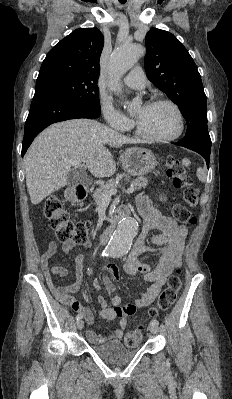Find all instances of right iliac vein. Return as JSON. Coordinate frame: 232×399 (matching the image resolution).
Here are the masks:
<instances>
[{"label": "right iliac vein", "instance_id": "63e3f726", "mask_svg": "<svg viewBox=\"0 0 232 399\" xmlns=\"http://www.w3.org/2000/svg\"><path fill=\"white\" fill-rule=\"evenodd\" d=\"M82 326H84V321H79L78 324H77V329L81 330Z\"/></svg>", "mask_w": 232, "mask_h": 399}]
</instances>
